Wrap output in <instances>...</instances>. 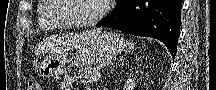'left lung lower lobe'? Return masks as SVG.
Here are the masks:
<instances>
[{
  "instance_id": "obj_1",
  "label": "left lung lower lobe",
  "mask_w": 216,
  "mask_h": 90,
  "mask_svg": "<svg viewBox=\"0 0 216 90\" xmlns=\"http://www.w3.org/2000/svg\"><path fill=\"white\" fill-rule=\"evenodd\" d=\"M182 0H117V7L98 26L162 41L175 57Z\"/></svg>"
}]
</instances>
